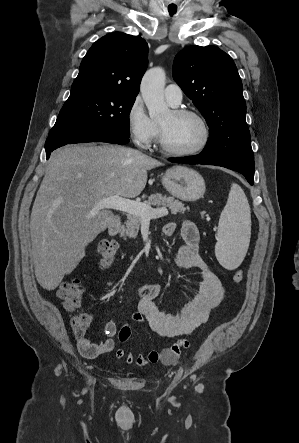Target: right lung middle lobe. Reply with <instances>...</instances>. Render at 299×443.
<instances>
[{"label": "right lung middle lobe", "instance_id": "obj_1", "mask_svg": "<svg viewBox=\"0 0 299 443\" xmlns=\"http://www.w3.org/2000/svg\"><path fill=\"white\" fill-rule=\"evenodd\" d=\"M136 96L100 89H75L63 105L49 137L114 131L130 136L129 114Z\"/></svg>", "mask_w": 299, "mask_h": 443}]
</instances>
